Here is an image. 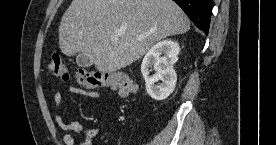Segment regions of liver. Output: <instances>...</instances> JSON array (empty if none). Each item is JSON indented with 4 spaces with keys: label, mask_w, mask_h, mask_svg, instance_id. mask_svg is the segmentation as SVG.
Instances as JSON below:
<instances>
[{
    "label": "liver",
    "mask_w": 276,
    "mask_h": 145,
    "mask_svg": "<svg viewBox=\"0 0 276 145\" xmlns=\"http://www.w3.org/2000/svg\"><path fill=\"white\" fill-rule=\"evenodd\" d=\"M189 29L188 17L172 0H73L61 18L59 46L68 56L85 53L98 71L112 73Z\"/></svg>",
    "instance_id": "1"
}]
</instances>
